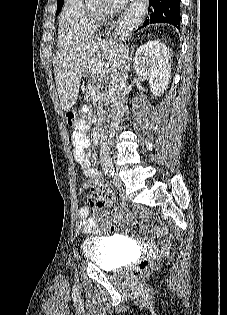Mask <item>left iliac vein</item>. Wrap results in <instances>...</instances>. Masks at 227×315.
Segmentation results:
<instances>
[{
	"instance_id": "1",
	"label": "left iliac vein",
	"mask_w": 227,
	"mask_h": 315,
	"mask_svg": "<svg viewBox=\"0 0 227 315\" xmlns=\"http://www.w3.org/2000/svg\"><path fill=\"white\" fill-rule=\"evenodd\" d=\"M114 184L117 187H121V185H122V183H121V181H120V179L118 177H115Z\"/></svg>"
}]
</instances>
